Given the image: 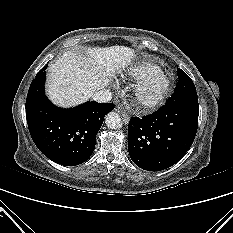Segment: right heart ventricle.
<instances>
[{"label": "right heart ventricle", "mask_w": 233, "mask_h": 233, "mask_svg": "<svg viewBox=\"0 0 233 233\" xmlns=\"http://www.w3.org/2000/svg\"><path fill=\"white\" fill-rule=\"evenodd\" d=\"M158 69L159 67L153 63L143 62L131 67L127 74L133 79L141 80L150 72Z\"/></svg>", "instance_id": "e07e8e85"}]
</instances>
